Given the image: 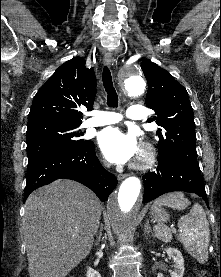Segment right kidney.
Instances as JSON below:
<instances>
[{"instance_id": "right-kidney-1", "label": "right kidney", "mask_w": 221, "mask_h": 277, "mask_svg": "<svg viewBox=\"0 0 221 277\" xmlns=\"http://www.w3.org/2000/svg\"><path fill=\"white\" fill-rule=\"evenodd\" d=\"M87 277H101L100 273L92 268L87 269Z\"/></svg>"}]
</instances>
